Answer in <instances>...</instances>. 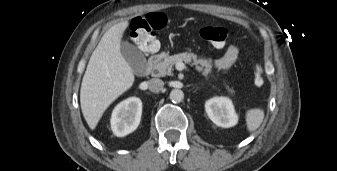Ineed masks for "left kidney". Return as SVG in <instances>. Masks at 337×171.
<instances>
[{
	"label": "left kidney",
	"mask_w": 337,
	"mask_h": 171,
	"mask_svg": "<svg viewBox=\"0 0 337 171\" xmlns=\"http://www.w3.org/2000/svg\"><path fill=\"white\" fill-rule=\"evenodd\" d=\"M205 110L208 117L217 126L229 128L238 122V116L235 113L232 101L227 97L209 99L205 103Z\"/></svg>",
	"instance_id": "1"
}]
</instances>
